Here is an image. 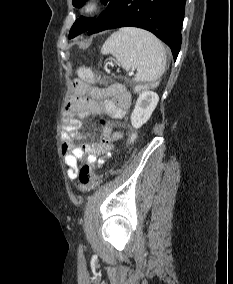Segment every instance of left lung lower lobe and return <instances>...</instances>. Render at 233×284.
I'll return each instance as SVG.
<instances>
[{
    "mask_svg": "<svg viewBox=\"0 0 233 284\" xmlns=\"http://www.w3.org/2000/svg\"><path fill=\"white\" fill-rule=\"evenodd\" d=\"M186 0H110L106 10L87 31L88 35L119 27L146 29L164 41L176 60Z\"/></svg>",
    "mask_w": 233,
    "mask_h": 284,
    "instance_id": "0a47b994",
    "label": "left lung lower lobe"
}]
</instances>
